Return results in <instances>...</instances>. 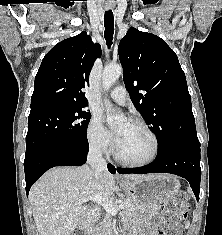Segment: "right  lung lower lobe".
<instances>
[{
	"mask_svg": "<svg viewBox=\"0 0 222 235\" xmlns=\"http://www.w3.org/2000/svg\"><path fill=\"white\" fill-rule=\"evenodd\" d=\"M88 148H75L68 146H56L41 149L32 155L25 157V181L26 193H29L31 186L48 169L55 166H79L87 159ZM109 171L114 174L115 168L108 165Z\"/></svg>",
	"mask_w": 222,
	"mask_h": 235,
	"instance_id": "obj_1",
	"label": "right lung lower lobe"
}]
</instances>
